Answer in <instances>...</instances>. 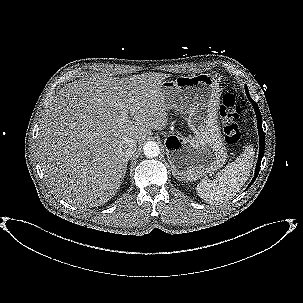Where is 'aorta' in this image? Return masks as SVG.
<instances>
[{
    "mask_svg": "<svg viewBox=\"0 0 303 303\" xmlns=\"http://www.w3.org/2000/svg\"><path fill=\"white\" fill-rule=\"evenodd\" d=\"M143 152L147 158H154L160 154V148L156 142L148 141L143 146Z\"/></svg>",
    "mask_w": 303,
    "mask_h": 303,
    "instance_id": "762f6f07",
    "label": "aorta"
}]
</instances>
